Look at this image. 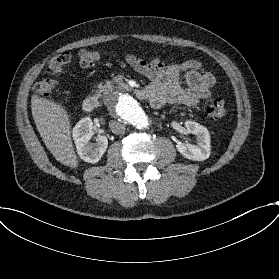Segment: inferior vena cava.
<instances>
[{
  "mask_svg": "<svg viewBox=\"0 0 279 279\" xmlns=\"http://www.w3.org/2000/svg\"><path fill=\"white\" fill-rule=\"evenodd\" d=\"M109 127H110L111 131L115 134H123L126 129L125 124L118 120H111L109 122Z\"/></svg>",
  "mask_w": 279,
  "mask_h": 279,
  "instance_id": "inferior-vena-cava-1",
  "label": "inferior vena cava"
}]
</instances>
